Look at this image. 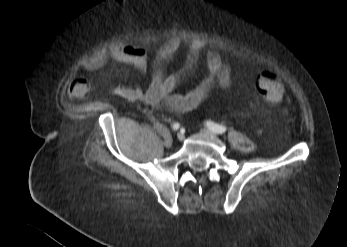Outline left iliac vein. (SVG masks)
<instances>
[{"mask_svg": "<svg viewBox=\"0 0 347 247\" xmlns=\"http://www.w3.org/2000/svg\"><path fill=\"white\" fill-rule=\"evenodd\" d=\"M201 133L204 135L216 136V134L208 129H202Z\"/></svg>", "mask_w": 347, "mask_h": 247, "instance_id": "obj_1", "label": "left iliac vein"}]
</instances>
